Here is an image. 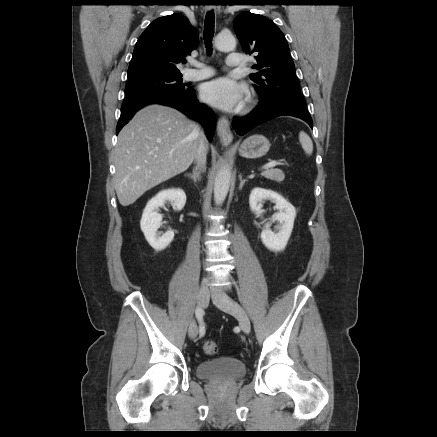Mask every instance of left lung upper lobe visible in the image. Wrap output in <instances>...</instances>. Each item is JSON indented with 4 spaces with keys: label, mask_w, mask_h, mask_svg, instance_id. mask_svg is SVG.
Wrapping results in <instances>:
<instances>
[{
    "label": "left lung upper lobe",
    "mask_w": 437,
    "mask_h": 437,
    "mask_svg": "<svg viewBox=\"0 0 437 437\" xmlns=\"http://www.w3.org/2000/svg\"><path fill=\"white\" fill-rule=\"evenodd\" d=\"M233 26L245 53L256 55L253 68L257 72L249 77L255 83L260 103L304 106L288 43L275 23L262 15L244 12L235 18Z\"/></svg>",
    "instance_id": "5c2ea615"
}]
</instances>
